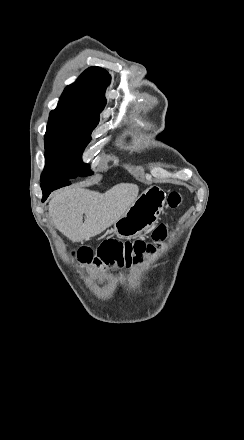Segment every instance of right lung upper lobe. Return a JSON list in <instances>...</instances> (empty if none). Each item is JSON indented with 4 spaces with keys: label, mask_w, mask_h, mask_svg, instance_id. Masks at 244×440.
Masks as SVG:
<instances>
[{
    "label": "right lung upper lobe",
    "mask_w": 244,
    "mask_h": 440,
    "mask_svg": "<svg viewBox=\"0 0 244 440\" xmlns=\"http://www.w3.org/2000/svg\"><path fill=\"white\" fill-rule=\"evenodd\" d=\"M110 81L111 77L104 69L90 67L64 90L58 105L103 110Z\"/></svg>",
    "instance_id": "cb5924a9"
}]
</instances>
